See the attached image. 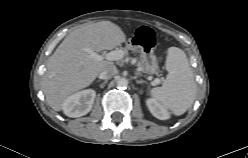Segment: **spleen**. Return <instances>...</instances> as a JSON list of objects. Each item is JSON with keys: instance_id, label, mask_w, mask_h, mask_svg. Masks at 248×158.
I'll return each mask as SVG.
<instances>
[{"instance_id": "obj_1", "label": "spleen", "mask_w": 248, "mask_h": 158, "mask_svg": "<svg viewBox=\"0 0 248 158\" xmlns=\"http://www.w3.org/2000/svg\"><path fill=\"white\" fill-rule=\"evenodd\" d=\"M167 52V77L161 87L151 89L150 95L179 116L193 104L197 86L184 51L170 47Z\"/></svg>"}]
</instances>
